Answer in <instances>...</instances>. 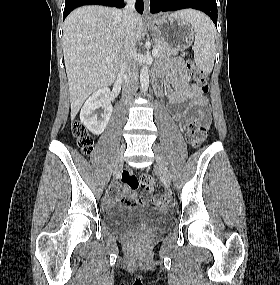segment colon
Returning a JSON list of instances; mask_svg holds the SVG:
<instances>
[{
  "label": "colon",
  "mask_w": 280,
  "mask_h": 285,
  "mask_svg": "<svg viewBox=\"0 0 280 285\" xmlns=\"http://www.w3.org/2000/svg\"><path fill=\"white\" fill-rule=\"evenodd\" d=\"M186 67L193 81L203 92H207L206 74L197 68L191 60L186 61ZM208 126L209 122L207 120H199L196 118L189 120L186 126V138L192 147H198L204 142L207 136ZM72 132L79 148L84 153H90L93 148V138L86 128L80 122H75L72 126ZM121 178L123 183L128 184L132 188L141 187L146 193L155 188L153 178L147 174H143L140 178H137L134 174L126 170L122 173ZM153 202L155 205L165 206L169 203V196L165 193L158 194L154 197Z\"/></svg>",
  "instance_id": "colon-1"
}]
</instances>
